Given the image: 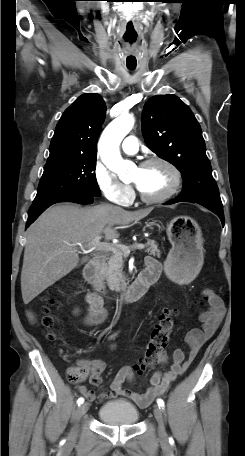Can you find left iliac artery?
I'll return each mask as SVG.
<instances>
[{"mask_svg":"<svg viewBox=\"0 0 245 456\" xmlns=\"http://www.w3.org/2000/svg\"><path fill=\"white\" fill-rule=\"evenodd\" d=\"M157 404L159 407H161L162 409L164 408V401L162 399H158L157 400Z\"/></svg>","mask_w":245,"mask_h":456,"instance_id":"obj_1","label":"left iliac artery"}]
</instances>
